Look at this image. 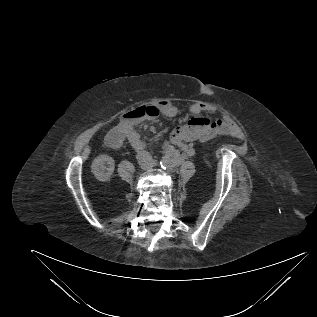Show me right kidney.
<instances>
[{"label":"right kidney","instance_id":"right-kidney-1","mask_svg":"<svg viewBox=\"0 0 317 317\" xmlns=\"http://www.w3.org/2000/svg\"><path fill=\"white\" fill-rule=\"evenodd\" d=\"M115 162L112 157L101 154L97 156L91 165V172L97 180L106 181L114 172Z\"/></svg>","mask_w":317,"mask_h":317}]
</instances>
